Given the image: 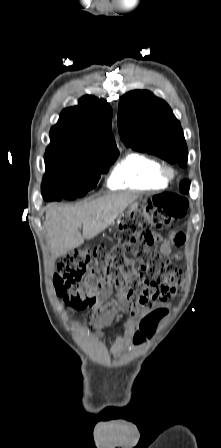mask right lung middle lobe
<instances>
[{
	"label": "right lung middle lobe",
	"mask_w": 221,
	"mask_h": 448,
	"mask_svg": "<svg viewBox=\"0 0 221 448\" xmlns=\"http://www.w3.org/2000/svg\"><path fill=\"white\" fill-rule=\"evenodd\" d=\"M119 152L106 156L88 157L64 150L46 151V174L41 193L46 201L74 200L94 188L102 173L109 170Z\"/></svg>",
	"instance_id": "1"
}]
</instances>
